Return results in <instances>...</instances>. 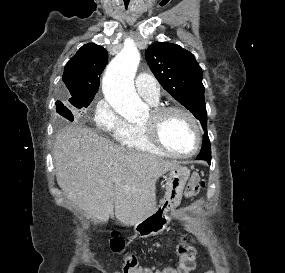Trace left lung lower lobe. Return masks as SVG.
<instances>
[{"mask_svg": "<svg viewBox=\"0 0 285 273\" xmlns=\"http://www.w3.org/2000/svg\"><path fill=\"white\" fill-rule=\"evenodd\" d=\"M197 159H204L209 164L211 163V148L207 133L204 135L203 145Z\"/></svg>", "mask_w": 285, "mask_h": 273, "instance_id": "1", "label": "left lung lower lobe"}]
</instances>
